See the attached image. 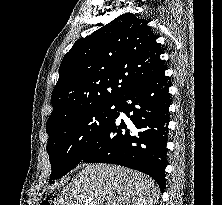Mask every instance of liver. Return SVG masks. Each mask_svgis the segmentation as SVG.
Listing matches in <instances>:
<instances>
[{
    "mask_svg": "<svg viewBox=\"0 0 222 205\" xmlns=\"http://www.w3.org/2000/svg\"><path fill=\"white\" fill-rule=\"evenodd\" d=\"M159 187L148 176L129 168L86 164L63 188L57 205H153Z\"/></svg>",
    "mask_w": 222,
    "mask_h": 205,
    "instance_id": "obj_1",
    "label": "liver"
}]
</instances>
